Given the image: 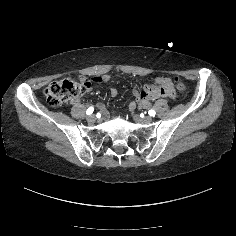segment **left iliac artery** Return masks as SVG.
Listing matches in <instances>:
<instances>
[{
  "label": "left iliac artery",
  "mask_w": 236,
  "mask_h": 236,
  "mask_svg": "<svg viewBox=\"0 0 236 236\" xmlns=\"http://www.w3.org/2000/svg\"><path fill=\"white\" fill-rule=\"evenodd\" d=\"M148 114L150 115V116H155V114H156V112L154 111V110H149L148 111Z\"/></svg>",
  "instance_id": "left-iliac-artery-1"
}]
</instances>
